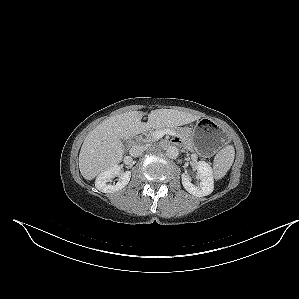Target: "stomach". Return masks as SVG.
<instances>
[{
	"mask_svg": "<svg viewBox=\"0 0 299 299\" xmlns=\"http://www.w3.org/2000/svg\"><path fill=\"white\" fill-rule=\"evenodd\" d=\"M190 131L192 147L205 157L215 154L227 142L224 129L207 118L198 120Z\"/></svg>",
	"mask_w": 299,
	"mask_h": 299,
	"instance_id": "stomach-1",
	"label": "stomach"
}]
</instances>
